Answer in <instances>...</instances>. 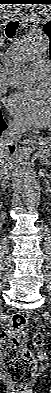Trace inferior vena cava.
Wrapping results in <instances>:
<instances>
[{"label": "inferior vena cava", "instance_id": "inferior-vena-cava-1", "mask_svg": "<svg viewBox=\"0 0 51 393\" xmlns=\"http://www.w3.org/2000/svg\"><path fill=\"white\" fill-rule=\"evenodd\" d=\"M25 129L18 126L17 124L10 123L8 128L1 135V143H0V178L1 180H8L10 177L11 166L10 163H7L8 157L7 152L8 149L5 144L12 145L17 144L20 140L22 133H24Z\"/></svg>", "mask_w": 51, "mask_h": 393}]
</instances>
